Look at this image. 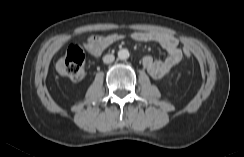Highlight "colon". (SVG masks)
Masks as SVG:
<instances>
[{"label":"colon","instance_id":"colon-1","mask_svg":"<svg viewBox=\"0 0 244 157\" xmlns=\"http://www.w3.org/2000/svg\"><path fill=\"white\" fill-rule=\"evenodd\" d=\"M119 40V35L111 34L107 36H91L89 47L91 49H105L111 44ZM183 55L186 58L191 57V51L188 47L183 49ZM57 72L73 81H80L84 78L85 69V53L78 45H72L68 48L66 54L59 58L56 62Z\"/></svg>","mask_w":244,"mask_h":157}]
</instances>
